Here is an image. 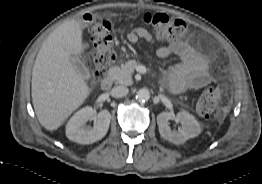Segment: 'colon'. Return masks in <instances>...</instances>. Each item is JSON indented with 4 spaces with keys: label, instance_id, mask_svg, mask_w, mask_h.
<instances>
[{
    "label": "colon",
    "instance_id": "obj_1",
    "mask_svg": "<svg viewBox=\"0 0 262 184\" xmlns=\"http://www.w3.org/2000/svg\"><path fill=\"white\" fill-rule=\"evenodd\" d=\"M88 26L93 49L94 70L90 87L95 88L105 76L108 67L115 60L111 24L106 18H97L91 14L83 16ZM146 25L153 31L157 39L168 42H177L183 38L187 31V24L163 13H146L143 17ZM219 92L214 87L206 88L196 102V109L206 119H215L219 115Z\"/></svg>",
    "mask_w": 262,
    "mask_h": 184
}]
</instances>
